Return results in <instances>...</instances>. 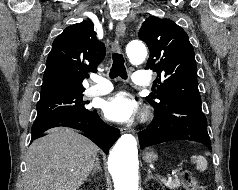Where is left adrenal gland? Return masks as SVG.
<instances>
[{
    "instance_id": "obj_1",
    "label": "left adrenal gland",
    "mask_w": 238,
    "mask_h": 190,
    "mask_svg": "<svg viewBox=\"0 0 238 190\" xmlns=\"http://www.w3.org/2000/svg\"><path fill=\"white\" fill-rule=\"evenodd\" d=\"M149 179H154V177H153V175H152V173H151V170H150V169H148V176H147V179H146V181H148Z\"/></svg>"
}]
</instances>
